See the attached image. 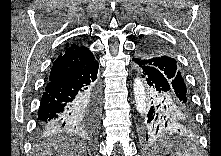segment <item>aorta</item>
I'll list each match as a JSON object with an SVG mask.
<instances>
[{
	"instance_id": "762f6f07",
	"label": "aorta",
	"mask_w": 221,
	"mask_h": 156,
	"mask_svg": "<svg viewBox=\"0 0 221 156\" xmlns=\"http://www.w3.org/2000/svg\"><path fill=\"white\" fill-rule=\"evenodd\" d=\"M134 92H135L136 101L138 103V110H141V102H142V95H143V84L141 83L139 78L135 79Z\"/></svg>"
}]
</instances>
